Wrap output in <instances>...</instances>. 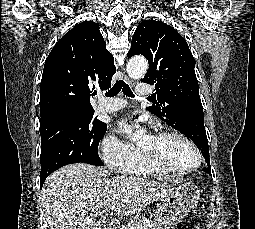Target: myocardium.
Here are the masks:
<instances>
[{"label":"myocardium","instance_id":"obj_1","mask_svg":"<svg viewBox=\"0 0 255 229\" xmlns=\"http://www.w3.org/2000/svg\"><path fill=\"white\" fill-rule=\"evenodd\" d=\"M156 136H159V137L177 136V137L181 138L194 150L197 160L194 165L187 167V168H181V169L171 168V167L164 165L159 160H156L151 154H149L144 149L139 147V150L141 151V153L152 165H154L155 167H157L158 169H160L166 173L173 175V177L185 175L187 173H190V172L196 170L198 167H200V165L202 163V153H201L200 149L198 148V146L195 144V142L189 136H187L185 133L172 129V130L161 131Z\"/></svg>","mask_w":255,"mask_h":229}]
</instances>
